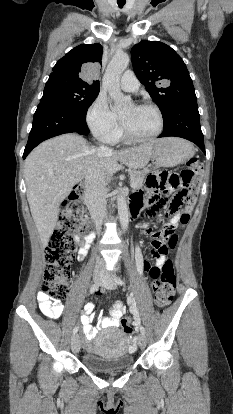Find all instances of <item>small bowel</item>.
Wrapping results in <instances>:
<instances>
[{"mask_svg": "<svg viewBox=\"0 0 233 414\" xmlns=\"http://www.w3.org/2000/svg\"><path fill=\"white\" fill-rule=\"evenodd\" d=\"M152 196L153 194L151 192L146 191L145 200H144L143 195L135 194L133 197V202H132V210L137 213L138 210L142 207L144 201H149ZM184 211L185 209H181L172 216L171 221H170V226L174 227L180 222L181 214ZM143 231L146 234L150 232L149 228L147 227H144ZM92 239H93V235L88 234L80 241V246L78 250V259L80 261H82L85 258L89 244L92 241ZM164 261H165V255H161L160 257H158L157 262H156V267L161 268ZM150 268H151V265L142 258L140 253H137L138 273L142 274L144 270L149 272ZM37 301H38V306H39L40 311L46 317L51 318V319H57L62 316L64 312V306L60 301L53 299L52 297H50L48 294L44 292L38 293ZM127 303L129 305L130 311L134 313V311H136L138 307L136 304H134L135 296L133 294L129 295L127 299ZM125 310H126L125 304L122 301L120 300L114 301L110 307L109 315L106 317L98 315L97 327H93L92 321L94 319V313H93L94 303L88 302L84 306V312L81 316V323L83 326V333L85 335V339L87 341L92 340L95 337L99 329H104L108 327H119L122 323V316L124 315Z\"/></svg>", "mask_w": 233, "mask_h": 414, "instance_id": "small-bowel-1", "label": "small bowel"}]
</instances>
